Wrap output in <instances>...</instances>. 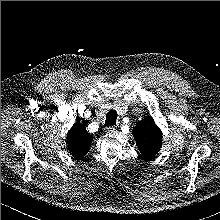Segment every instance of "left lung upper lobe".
<instances>
[{"instance_id": "1", "label": "left lung upper lobe", "mask_w": 220, "mask_h": 220, "mask_svg": "<svg viewBox=\"0 0 220 220\" xmlns=\"http://www.w3.org/2000/svg\"><path fill=\"white\" fill-rule=\"evenodd\" d=\"M133 136L143 158L151 159L160 150L162 132L151 116L145 117L136 124L133 129Z\"/></svg>"}]
</instances>
